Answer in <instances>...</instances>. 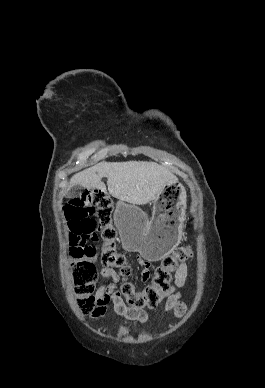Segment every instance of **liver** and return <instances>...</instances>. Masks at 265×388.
Instances as JSON below:
<instances>
[{
  "mask_svg": "<svg viewBox=\"0 0 265 388\" xmlns=\"http://www.w3.org/2000/svg\"><path fill=\"white\" fill-rule=\"evenodd\" d=\"M102 178H108V192L122 202L144 206L162 194L167 184H176L177 178L164 166L154 162H100L84 172L75 174L70 186L106 192Z\"/></svg>",
  "mask_w": 265,
  "mask_h": 388,
  "instance_id": "6515ba94",
  "label": "liver"
}]
</instances>
